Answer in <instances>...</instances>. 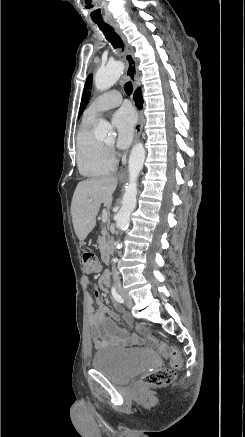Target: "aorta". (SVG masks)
I'll return each mask as SVG.
<instances>
[{
  "mask_svg": "<svg viewBox=\"0 0 245 437\" xmlns=\"http://www.w3.org/2000/svg\"><path fill=\"white\" fill-rule=\"evenodd\" d=\"M124 65L122 62H114L108 64L106 67L97 71L94 82L95 86L100 91H105L112 87L123 73ZM116 133L112 126L105 120L100 119L97 128L95 129V136L103 139L106 137H114ZM145 160V149L142 143L136 144L129 156L128 172L129 183L126 186L125 193L122 198L121 208L116 215V224L120 232L126 231L130 224V216L136 207L137 195V180L140 171L142 170ZM115 247L119 248V241L115 242Z\"/></svg>",
  "mask_w": 245,
  "mask_h": 437,
  "instance_id": "aorta-1",
  "label": "aorta"
}]
</instances>
